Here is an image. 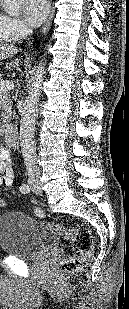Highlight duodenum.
Here are the masks:
<instances>
[{
  "mask_svg": "<svg viewBox=\"0 0 129 309\" xmlns=\"http://www.w3.org/2000/svg\"><path fill=\"white\" fill-rule=\"evenodd\" d=\"M18 139V128L14 124H10L6 127L4 131V140L8 146H13L16 144Z\"/></svg>",
  "mask_w": 129,
  "mask_h": 309,
  "instance_id": "410a0bca",
  "label": "duodenum"
}]
</instances>
